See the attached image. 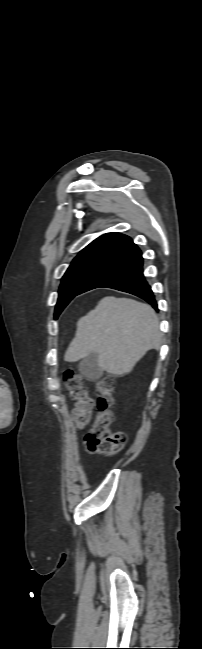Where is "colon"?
I'll return each mask as SVG.
<instances>
[{
    "label": "colon",
    "instance_id": "1",
    "mask_svg": "<svg viewBox=\"0 0 202 649\" xmlns=\"http://www.w3.org/2000/svg\"><path fill=\"white\" fill-rule=\"evenodd\" d=\"M67 389L75 405L71 411L76 426L84 428L89 422L94 402L89 396L83 377L75 370H67L64 374ZM98 413L95 421L85 436V444L89 451L105 455H114L121 451L126 444L123 432H114L111 425L114 414L111 410L114 393V380L105 376L97 382Z\"/></svg>",
    "mask_w": 202,
    "mask_h": 649
}]
</instances>
